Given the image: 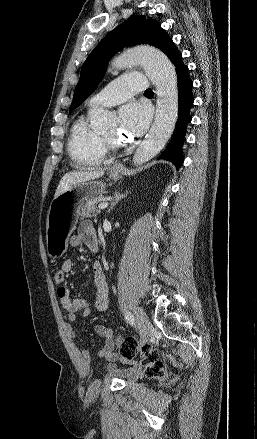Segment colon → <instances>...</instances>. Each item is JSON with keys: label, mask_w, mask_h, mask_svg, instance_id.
<instances>
[{"label": "colon", "mask_w": 257, "mask_h": 439, "mask_svg": "<svg viewBox=\"0 0 257 439\" xmlns=\"http://www.w3.org/2000/svg\"><path fill=\"white\" fill-rule=\"evenodd\" d=\"M54 280L58 284L64 282L65 274L61 270L56 271ZM114 344L119 354L125 359H132L137 355L140 356L141 364L145 368V375L147 377L158 380L165 378L166 372L163 364L159 359L157 351L151 346L140 345L131 337H117Z\"/></svg>", "instance_id": "colon-1"}]
</instances>
